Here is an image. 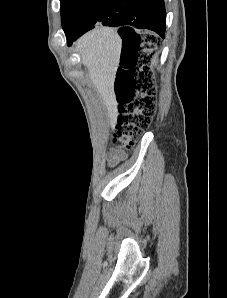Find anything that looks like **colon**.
<instances>
[{"mask_svg":"<svg viewBox=\"0 0 227 298\" xmlns=\"http://www.w3.org/2000/svg\"><path fill=\"white\" fill-rule=\"evenodd\" d=\"M145 36L144 45L122 59L115 79L119 116L113 143L120 149L134 146L150 126L156 111L155 86L149 64L159 40L152 35Z\"/></svg>","mask_w":227,"mask_h":298,"instance_id":"colon-1","label":"colon"}]
</instances>
